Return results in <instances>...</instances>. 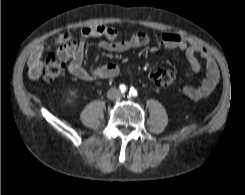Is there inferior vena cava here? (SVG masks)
<instances>
[{
	"label": "inferior vena cava",
	"instance_id": "602c4592",
	"mask_svg": "<svg viewBox=\"0 0 245 195\" xmlns=\"http://www.w3.org/2000/svg\"><path fill=\"white\" fill-rule=\"evenodd\" d=\"M122 96L121 91L119 90H112V95L110 96V98L114 99V98H120Z\"/></svg>",
	"mask_w": 245,
	"mask_h": 195
}]
</instances>
